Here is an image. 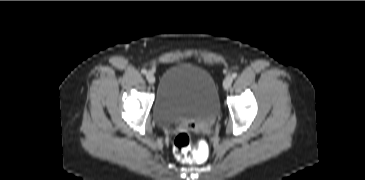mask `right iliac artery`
<instances>
[{"label": "right iliac artery", "instance_id": "1", "mask_svg": "<svg viewBox=\"0 0 365 180\" xmlns=\"http://www.w3.org/2000/svg\"><path fill=\"white\" fill-rule=\"evenodd\" d=\"M141 73L146 74L147 73V70L146 69H142L141 70Z\"/></svg>", "mask_w": 365, "mask_h": 180}]
</instances>
